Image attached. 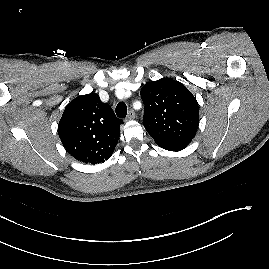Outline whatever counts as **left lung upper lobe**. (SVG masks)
Masks as SVG:
<instances>
[{"mask_svg":"<svg viewBox=\"0 0 269 269\" xmlns=\"http://www.w3.org/2000/svg\"><path fill=\"white\" fill-rule=\"evenodd\" d=\"M145 104L143 124L149 135L162 148L186 147L199 125L196 98L180 82L163 78L141 88Z\"/></svg>","mask_w":269,"mask_h":269,"instance_id":"obj_1","label":"left lung upper lobe"}]
</instances>
